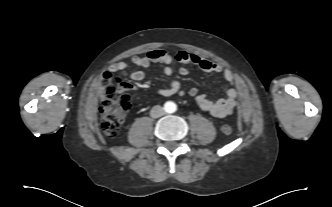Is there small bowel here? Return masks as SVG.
<instances>
[{
	"label": "small bowel",
	"mask_w": 332,
	"mask_h": 207,
	"mask_svg": "<svg viewBox=\"0 0 332 207\" xmlns=\"http://www.w3.org/2000/svg\"><path fill=\"white\" fill-rule=\"evenodd\" d=\"M174 61L184 64H194L208 73L220 74L230 85L225 89V97L216 101L209 99L205 94H200L198 89L192 87L188 90H183L179 81L174 77L173 69L171 67ZM132 64L137 66L139 70L133 71L130 74V79L133 81H141L146 76L152 64L159 63L164 65L163 72L169 78V86L160 88L156 91L159 96L167 97L173 94H185L191 96L196 105L204 112L211 114L218 118L229 116L235 105L237 99V91L233 87L234 74L229 69H224L218 63L209 59L200 57L198 55L188 53L185 51L178 52L175 56L170 55L163 49H154L149 51L145 56H135L131 60ZM129 67L126 62L119 61L110 65L109 69L103 73L102 80L108 81L112 73L124 71ZM180 75H187L188 70L185 67L179 69Z\"/></svg>",
	"instance_id": "obj_1"
}]
</instances>
